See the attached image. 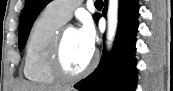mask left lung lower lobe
Masks as SVG:
<instances>
[{
  "mask_svg": "<svg viewBox=\"0 0 173 91\" xmlns=\"http://www.w3.org/2000/svg\"><path fill=\"white\" fill-rule=\"evenodd\" d=\"M138 0L119 1L118 30L111 53L103 51L98 67L74 85L80 91H134L137 76L134 57L138 28ZM107 12V0L103 16ZM101 16L95 15L98 20Z\"/></svg>",
  "mask_w": 173,
  "mask_h": 91,
  "instance_id": "0a47b994",
  "label": "left lung lower lobe"
}]
</instances>
